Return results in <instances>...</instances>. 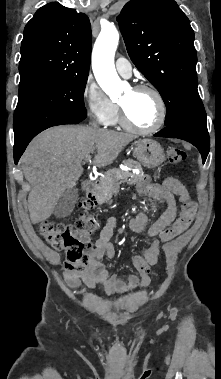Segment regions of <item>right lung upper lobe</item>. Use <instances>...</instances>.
<instances>
[{
	"label": "right lung upper lobe",
	"mask_w": 221,
	"mask_h": 379,
	"mask_svg": "<svg viewBox=\"0 0 221 379\" xmlns=\"http://www.w3.org/2000/svg\"><path fill=\"white\" fill-rule=\"evenodd\" d=\"M91 43L87 15L57 2L41 7L24 29L19 87L88 76Z\"/></svg>",
	"instance_id": "1"
}]
</instances>
